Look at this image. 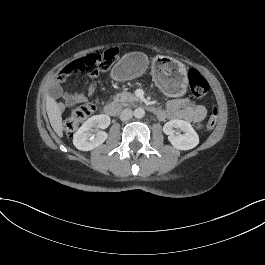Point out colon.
<instances>
[{
    "instance_id": "1",
    "label": "colon",
    "mask_w": 265,
    "mask_h": 265,
    "mask_svg": "<svg viewBox=\"0 0 265 265\" xmlns=\"http://www.w3.org/2000/svg\"><path fill=\"white\" fill-rule=\"evenodd\" d=\"M117 54L118 51L111 48L103 53H91L85 55L65 66L59 72L58 79L64 80L69 76L76 75L87 69H94L97 72L106 71L114 64ZM187 76L192 95L197 99L204 98L209 91V83L207 80L195 69H190ZM95 109V102L82 104L72 109L63 122L64 131L68 135H72L78 127L92 115ZM217 117L218 109L217 107H214L206 123L207 131H211L215 128Z\"/></svg>"
}]
</instances>
